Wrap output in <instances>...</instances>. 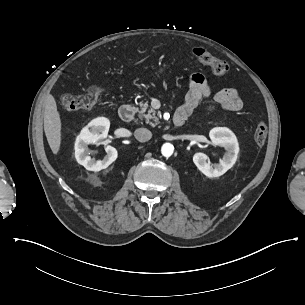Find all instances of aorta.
Segmentation results:
<instances>
[{
  "label": "aorta",
  "instance_id": "762f6f07",
  "mask_svg": "<svg viewBox=\"0 0 305 305\" xmlns=\"http://www.w3.org/2000/svg\"><path fill=\"white\" fill-rule=\"evenodd\" d=\"M174 152V146L170 143H164L161 147V153L164 157H170Z\"/></svg>",
  "mask_w": 305,
  "mask_h": 305
}]
</instances>
